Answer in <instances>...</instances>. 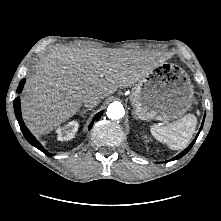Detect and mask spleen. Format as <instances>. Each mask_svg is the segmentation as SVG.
<instances>
[{"label": "spleen", "instance_id": "obj_1", "mask_svg": "<svg viewBox=\"0 0 221 221\" xmlns=\"http://www.w3.org/2000/svg\"><path fill=\"white\" fill-rule=\"evenodd\" d=\"M196 125L197 119L195 115L187 114L166 126L154 124L151 126L150 131L159 142L166 144L172 150H179L188 145L195 132Z\"/></svg>", "mask_w": 221, "mask_h": 221}]
</instances>
